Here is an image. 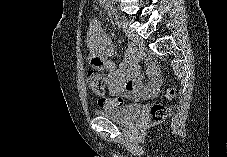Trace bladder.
<instances>
[{
	"label": "bladder",
	"instance_id": "31cf9c89",
	"mask_svg": "<svg viewBox=\"0 0 227 157\" xmlns=\"http://www.w3.org/2000/svg\"><path fill=\"white\" fill-rule=\"evenodd\" d=\"M142 111L143 108L140 104H128L118 107L96 109L95 114L117 123L130 124L141 116Z\"/></svg>",
	"mask_w": 227,
	"mask_h": 157
}]
</instances>
